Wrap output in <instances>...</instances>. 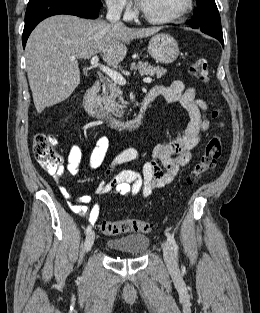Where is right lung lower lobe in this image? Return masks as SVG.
<instances>
[{
  "instance_id": "1",
  "label": "right lung lower lobe",
  "mask_w": 260,
  "mask_h": 313,
  "mask_svg": "<svg viewBox=\"0 0 260 313\" xmlns=\"http://www.w3.org/2000/svg\"><path fill=\"white\" fill-rule=\"evenodd\" d=\"M101 6L85 0H29L22 35L23 47L32 30L43 19L58 14L95 19L99 16Z\"/></svg>"
}]
</instances>
